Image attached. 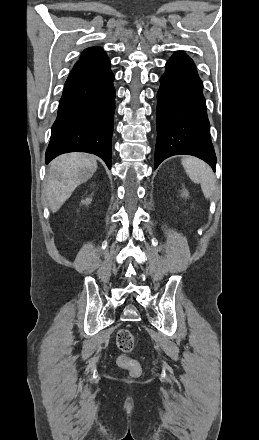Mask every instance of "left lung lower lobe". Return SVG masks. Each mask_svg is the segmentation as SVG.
<instances>
[{
	"label": "left lung lower lobe",
	"instance_id": "obj_1",
	"mask_svg": "<svg viewBox=\"0 0 259 440\" xmlns=\"http://www.w3.org/2000/svg\"><path fill=\"white\" fill-rule=\"evenodd\" d=\"M160 82L155 169L164 159L178 154L196 156L215 169L203 83L193 61L177 51L167 61Z\"/></svg>",
	"mask_w": 259,
	"mask_h": 440
}]
</instances>
